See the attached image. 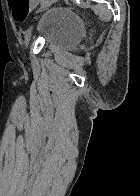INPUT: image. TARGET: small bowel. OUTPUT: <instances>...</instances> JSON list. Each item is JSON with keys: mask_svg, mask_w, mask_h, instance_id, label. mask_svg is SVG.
<instances>
[{"mask_svg": "<svg viewBox=\"0 0 140 196\" xmlns=\"http://www.w3.org/2000/svg\"><path fill=\"white\" fill-rule=\"evenodd\" d=\"M33 1V3H36L38 0H32Z\"/></svg>", "mask_w": 140, "mask_h": 196, "instance_id": "obj_1", "label": "small bowel"}]
</instances>
